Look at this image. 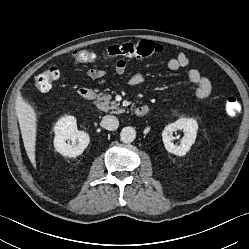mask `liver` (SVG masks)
Here are the masks:
<instances>
[{"instance_id":"liver-1","label":"liver","mask_w":249,"mask_h":249,"mask_svg":"<svg viewBox=\"0 0 249 249\" xmlns=\"http://www.w3.org/2000/svg\"><path fill=\"white\" fill-rule=\"evenodd\" d=\"M16 113L22 134V139L27 156L36 168V135H37V115L34 108L18 97L16 101Z\"/></svg>"}]
</instances>
